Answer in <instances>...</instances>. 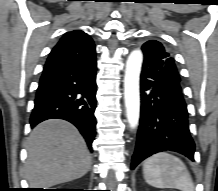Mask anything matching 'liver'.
I'll use <instances>...</instances> for the list:
<instances>
[{"label":"liver","instance_id":"obj_1","mask_svg":"<svg viewBox=\"0 0 218 191\" xmlns=\"http://www.w3.org/2000/svg\"><path fill=\"white\" fill-rule=\"evenodd\" d=\"M25 174L31 188H46L84 176L92 159L83 137L70 123L52 119L37 125L27 143Z\"/></svg>","mask_w":218,"mask_h":191}]
</instances>
